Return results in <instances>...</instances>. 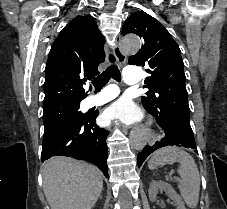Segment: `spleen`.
<instances>
[{
  "mask_svg": "<svg viewBox=\"0 0 227 209\" xmlns=\"http://www.w3.org/2000/svg\"><path fill=\"white\" fill-rule=\"evenodd\" d=\"M180 163L177 173L181 179L178 189L189 209H196L200 193V175L191 155L183 151L182 147H163L153 153L148 161L149 169H157L163 165Z\"/></svg>",
  "mask_w": 227,
  "mask_h": 209,
  "instance_id": "spleen-1",
  "label": "spleen"
}]
</instances>
